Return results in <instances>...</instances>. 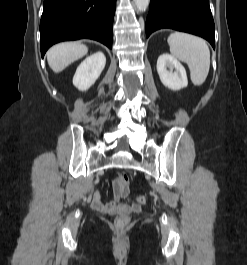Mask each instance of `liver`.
<instances>
[{"label": "liver", "mask_w": 247, "mask_h": 265, "mask_svg": "<svg viewBox=\"0 0 247 265\" xmlns=\"http://www.w3.org/2000/svg\"><path fill=\"white\" fill-rule=\"evenodd\" d=\"M87 52L88 47L81 43H59L48 50L47 61L51 69L59 73L74 61L85 56Z\"/></svg>", "instance_id": "liver-1"}]
</instances>
